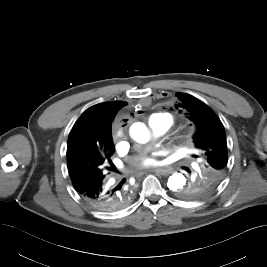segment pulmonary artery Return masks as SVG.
I'll return each mask as SVG.
<instances>
[{
  "mask_svg": "<svg viewBox=\"0 0 267 267\" xmlns=\"http://www.w3.org/2000/svg\"><path fill=\"white\" fill-rule=\"evenodd\" d=\"M150 129L155 137L165 134L171 126V118L163 115L149 120Z\"/></svg>",
  "mask_w": 267,
  "mask_h": 267,
  "instance_id": "obj_1",
  "label": "pulmonary artery"
}]
</instances>
